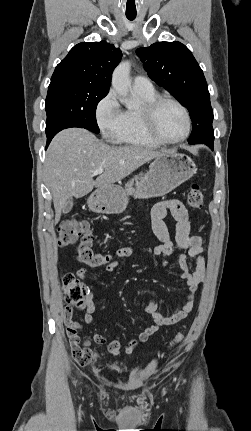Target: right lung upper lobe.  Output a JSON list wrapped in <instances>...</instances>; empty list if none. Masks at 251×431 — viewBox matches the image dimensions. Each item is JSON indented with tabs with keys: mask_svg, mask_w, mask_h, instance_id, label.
Masks as SVG:
<instances>
[{
	"mask_svg": "<svg viewBox=\"0 0 251 431\" xmlns=\"http://www.w3.org/2000/svg\"><path fill=\"white\" fill-rule=\"evenodd\" d=\"M121 57V50L106 41L82 42L57 65L51 80L70 78L109 90L112 72Z\"/></svg>",
	"mask_w": 251,
	"mask_h": 431,
	"instance_id": "obj_1",
	"label": "right lung upper lobe"
}]
</instances>
